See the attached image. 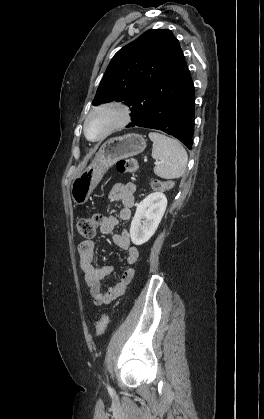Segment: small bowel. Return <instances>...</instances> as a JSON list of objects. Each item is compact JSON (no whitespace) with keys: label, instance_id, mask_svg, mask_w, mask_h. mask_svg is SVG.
<instances>
[{"label":"small bowel","instance_id":"c3829d8e","mask_svg":"<svg viewBox=\"0 0 264 419\" xmlns=\"http://www.w3.org/2000/svg\"><path fill=\"white\" fill-rule=\"evenodd\" d=\"M135 191L136 186L132 182L116 183L109 192V200L121 203L119 215L105 217L99 225L100 231L104 234H111L114 243L127 253V266L112 286L106 289L102 287V281L112 274L113 269L109 265L94 266L95 243L92 240H84L78 245L79 265L93 302L97 306L109 304L120 297L134 276L135 265L139 259L138 248L131 244L127 230L121 233H115L114 230L120 221L130 219L135 203Z\"/></svg>","mask_w":264,"mask_h":419}]
</instances>
